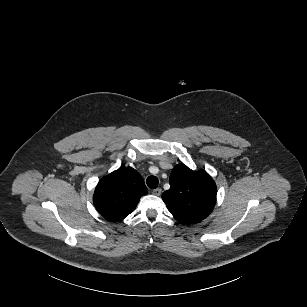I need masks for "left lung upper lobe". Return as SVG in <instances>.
Segmentation results:
<instances>
[{
  "label": "left lung upper lobe",
  "instance_id": "1",
  "mask_svg": "<svg viewBox=\"0 0 307 307\" xmlns=\"http://www.w3.org/2000/svg\"><path fill=\"white\" fill-rule=\"evenodd\" d=\"M170 189L162 199L174 218L182 224L200 222L213 210L216 185L203 170L193 171L184 164L174 167L170 175Z\"/></svg>",
  "mask_w": 307,
  "mask_h": 307
}]
</instances>
